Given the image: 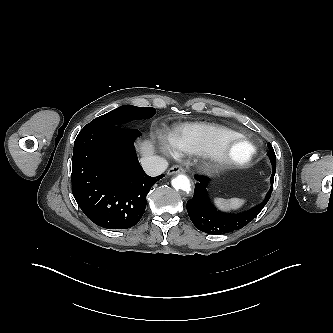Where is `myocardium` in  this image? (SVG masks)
I'll return each mask as SVG.
<instances>
[{
    "mask_svg": "<svg viewBox=\"0 0 333 333\" xmlns=\"http://www.w3.org/2000/svg\"><path fill=\"white\" fill-rule=\"evenodd\" d=\"M243 148L242 153L238 149ZM256 155L255 146L245 137L234 135L218 141L210 150L202 153L203 167L214 170L225 167H242Z\"/></svg>",
    "mask_w": 333,
    "mask_h": 333,
    "instance_id": "obj_1",
    "label": "myocardium"
}]
</instances>
